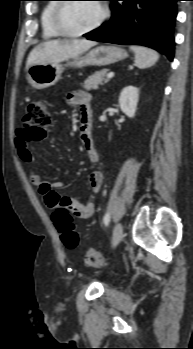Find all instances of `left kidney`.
<instances>
[{"label": "left kidney", "mask_w": 193, "mask_h": 349, "mask_svg": "<svg viewBox=\"0 0 193 349\" xmlns=\"http://www.w3.org/2000/svg\"><path fill=\"white\" fill-rule=\"evenodd\" d=\"M138 99L139 91L134 86H127L120 93L119 105L121 111L129 118H133L135 116Z\"/></svg>", "instance_id": "obj_1"}]
</instances>
